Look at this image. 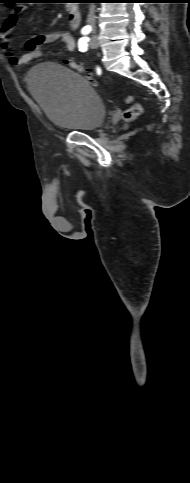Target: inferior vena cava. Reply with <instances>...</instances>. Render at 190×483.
Masks as SVG:
<instances>
[{
	"label": "inferior vena cava",
	"mask_w": 190,
	"mask_h": 483,
	"mask_svg": "<svg viewBox=\"0 0 190 483\" xmlns=\"http://www.w3.org/2000/svg\"><path fill=\"white\" fill-rule=\"evenodd\" d=\"M87 23L90 24L94 28V25H95V6H94V4L90 5L89 14H88V17H87Z\"/></svg>",
	"instance_id": "obj_1"
}]
</instances>
